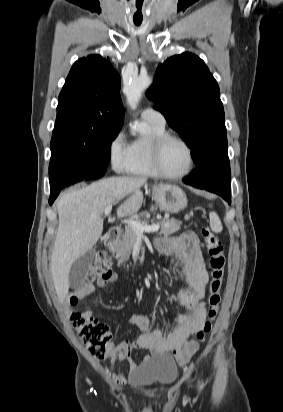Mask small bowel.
Instances as JSON below:
<instances>
[{"label":"small bowel","mask_w":283,"mask_h":412,"mask_svg":"<svg viewBox=\"0 0 283 412\" xmlns=\"http://www.w3.org/2000/svg\"><path fill=\"white\" fill-rule=\"evenodd\" d=\"M156 248L163 254H173L178 257V267L184 279V285L179 290L181 309L177 311L171 331L166 332L164 326L154 327L151 318L145 313H135L128 318V323L143 331L134 341L124 340L117 344L109 343L106 357L110 359V370L114 363L126 360L129 366L130 376L139 371L141 365L132 358L134 350H147L150 355L144 356L142 363H147L150 356L163 357L174 353L180 365H185L194 350L185 354H179V348L191 335L202 329L206 318L205 293L208 282V274L201 259L199 241L197 235L191 231H184L176 238H159L155 242ZM117 279V273L109 278L99 280V287H107ZM92 284L84 286L81 295H88L94 291ZM92 315V311H87ZM116 382L125 381L124 374H113Z\"/></svg>","instance_id":"small-bowel-1"}]
</instances>
